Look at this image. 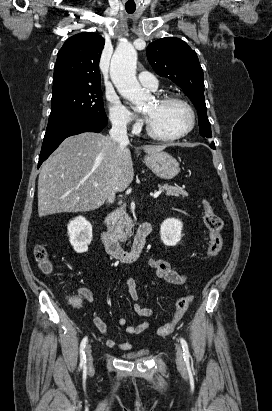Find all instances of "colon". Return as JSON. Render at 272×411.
<instances>
[{"mask_svg":"<svg viewBox=\"0 0 272 411\" xmlns=\"http://www.w3.org/2000/svg\"><path fill=\"white\" fill-rule=\"evenodd\" d=\"M203 219L209 232V245L207 248V256L214 257L219 254L223 247V220L212 209L207 200H202ZM35 259L41 271L45 274L51 273L53 269L49 254L43 245H37L35 248ZM191 297L186 295L179 298L175 305V312L173 319L160 326L156 333L160 337H165L173 333L178 322L186 313L190 303Z\"/></svg>","mask_w":272,"mask_h":411,"instance_id":"1","label":"colon"}]
</instances>
